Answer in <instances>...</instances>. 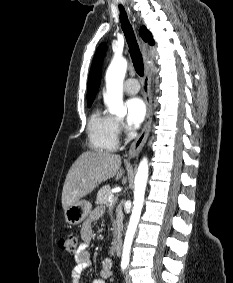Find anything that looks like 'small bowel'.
<instances>
[{"label":"small bowel","mask_w":233,"mask_h":283,"mask_svg":"<svg viewBox=\"0 0 233 283\" xmlns=\"http://www.w3.org/2000/svg\"><path fill=\"white\" fill-rule=\"evenodd\" d=\"M102 214L100 209L94 210L81 227V239L82 242L75 255V264L72 271V283H82L81 273L90 265V252L89 246L93 239L92 224ZM112 261L106 258L102 262V268L99 278L95 279L92 283H106V280L111 276Z\"/></svg>","instance_id":"c3829d8e"}]
</instances>
